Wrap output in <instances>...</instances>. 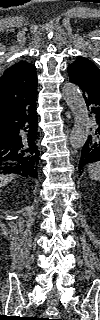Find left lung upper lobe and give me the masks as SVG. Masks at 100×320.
Wrapping results in <instances>:
<instances>
[{
    "label": "left lung upper lobe",
    "mask_w": 100,
    "mask_h": 320,
    "mask_svg": "<svg viewBox=\"0 0 100 320\" xmlns=\"http://www.w3.org/2000/svg\"><path fill=\"white\" fill-rule=\"evenodd\" d=\"M68 75L81 81L100 95V70L89 59L77 57V59L68 66Z\"/></svg>",
    "instance_id": "obj_1"
}]
</instances>
